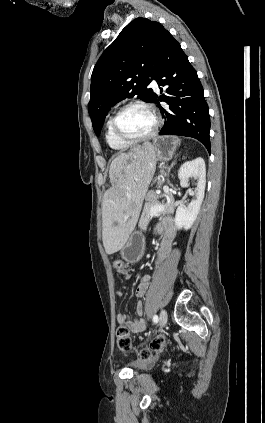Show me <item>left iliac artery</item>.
Instances as JSON below:
<instances>
[{"label": "left iliac artery", "mask_w": 265, "mask_h": 423, "mask_svg": "<svg viewBox=\"0 0 265 423\" xmlns=\"http://www.w3.org/2000/svg\"><path fill=\"white\" fill-rule=\"evenodd\" d=\"M153 322H154V323H157V322H158V316H157V315H154V316H153Z\"/></svg>", "instance_id": "1"}]
</instances>
